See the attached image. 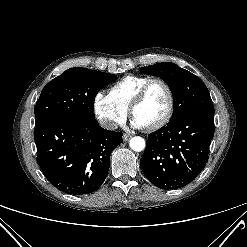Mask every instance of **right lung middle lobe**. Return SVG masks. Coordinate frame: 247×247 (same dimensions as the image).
<instances>
[{
    "label": "right lung middle lobe",
    "instance_id": "1",
    "mask_svg": "<svg viewBox=\"0 0 247 247\" xmlns=\"http://www.w3.org/2000/svg\"><path fill=\"white\" fill-rule=\"evenodd\" d=\"M116 80L113 74L75 67L43 88L35 106V122L59 117L94 119V100L100 89Z\"/></svg>",
    "mask_w": 247,
    "mask_h": 247
}]
</instances>
